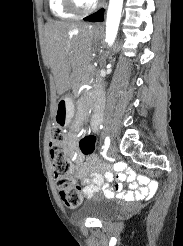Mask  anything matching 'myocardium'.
Instances as JSON below:
<instances>
[{"label": "myocardium", "mask_w": 183, "mask_h": 246, "mask_svg": "<svg viewBox=\"0 0 183 246\" xmlns=\"http://www.w3.org/2000/svg\"><path fill=\"white\" fill-rule=\"evenodd\" d=\"M66 8L76 14V15H86L91 13L97 8V1H93L91 4L87 6H83L79 3L78 0H64Z\"/></svg>", "instance_id": "myocardium-1"}]
</instances>
